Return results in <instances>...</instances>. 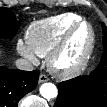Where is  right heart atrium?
Returning a JSON list of instances; mask_svg holds the SVG:
<instances>
[{
	"instance_id": "1",
	"label": "right heart atrium",
	"mask_w": 107,
	"mask_h": 107,
	"mask_svg": "<svg viewBox=\"0 0 107 107\" xmlns=\"http://www.w3.org/2000/svg\"><path fill=\"white\" fill-rule=\"evenodd\" d=\"M17 51L23 57L31 62H37V54L31 49V47L23 40H18L16 44Z\"/></svg>"
}]
</instances>
